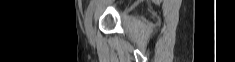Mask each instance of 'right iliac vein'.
<instances>
[{
	"label": "right iliac vein",
	"mask_w": 235,
	"mask_h": 62,
	"mask_svg": "<svg viewBox=\"0 0 235 62\" xmlns=\"http://www.w3.org/2000/svg\"><path fill=\"white\" fill-rule=\"evenodd\" d=\"M86 32H87L88 38L92 39L94 37V29H93L92 19H91V22H90L88 28L86 29Z\"/></svg>",
	"instance_id": "obj_1"
}]
</instances>
